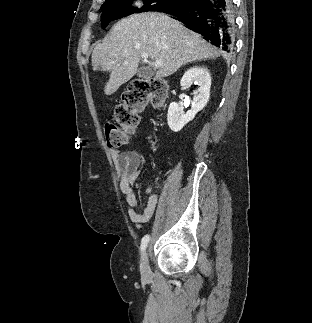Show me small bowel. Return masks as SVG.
<instances>
[{"instance_id":"c3829d8e","label":"small bowel","mask_w":312,"mask_h":323,"mask_svg":"<svg viewBox=\"0 0 312 323\" xmlns=\"http://www.w3.org/2000/svg\"><path fill=\"white\" fill-rule=\"evenodd\" d=\"M111 156L119 178L120 190L126 198L127 216L132 223L140 227L153 219L159 197L149 187L147 205L141 213H138L139 204L134 192V184L143 167V159L138 153L129 150L112 149Z\"/></svg>"}]
</instances>
